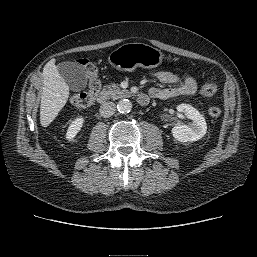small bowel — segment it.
<instances>
[{"instance_id": "small-bowel-1", "label": "small bowel", "mask_w": 257, "mask_h": 257, "mask_svg": "<svg viewBox=\"0 0 257 257\" xmlns=\"http://www.w3.org/2000/svg\"><path fill=\"white\" fill-rule=\"evenodd\" d=\"M151 76L163 84H172L169 88L152 87L149 96L154 99H170L179 96H192L197 92L195 78L186 73H175L166 70L153 72Z\"/></svg>"}]
</instances>
